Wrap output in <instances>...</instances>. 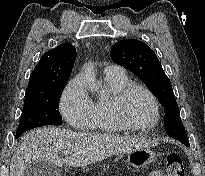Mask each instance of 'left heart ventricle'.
I'll list each match as a JSON object with an SVG mask.
<instances>
[{"label": "left heart ventricle", "mask_w": 205, "mask_h": 176, "mask_svg": "<svg viewBox=\"0 0 205 176\" xmlns=\"http://www.w3.org/2000/svg\"><path fill=\"white\" fill-rule=\"evenodd\" d=\"M128 117L135 123L146 124L154 117V108L149 97L142 91H135L126 102Z\"/></svg>", "instance_id": "obj_1"}]
</instances>
